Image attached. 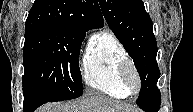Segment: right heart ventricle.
Instances as JSON below:
<instances>
[{"instance_id":"1","label":"right heart ventricle","mask_w":193,"mask_h":112,"mask_svg":"<svg viewBox=\"0 0 193 112\" xmlns=\"http://www.w3.org/2000/svg\"><path fill=\"white\" fill-rule=\"evenodd\" d=\"M128 58L127 51L118 37L103 30L90 39L82 59V78L92 90L113 98L125 99L130 92L124 85L119 66Z\"/></svg>"}]
</instances>
